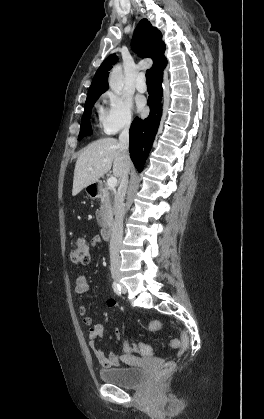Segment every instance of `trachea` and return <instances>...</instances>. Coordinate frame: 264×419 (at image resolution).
Here are the masks:
<instances>
[{
	"mask_svg": "<svg viewBox=\"0 0 264 419\" xmlns=\"http://www.w3.org/2000/svg\"><path fill=\"white\" fill-rule=\"evenodd\" d=\"M146 83L148 85H152L153 84L151 70H147L146 71Z\"/></svg>",
	"mask_w": 264,
	"mask_h": 419,
	"instance_id": "trachea-1",
	"label": "trachea"
}]
</instances>
